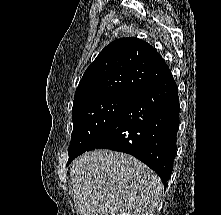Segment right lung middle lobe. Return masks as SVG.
Masks as SVG:
<instances>
[{
    "instance_id": "dd1d6c3e",
    "label": "right lung middle lobe",
    "mask_w": 221,
    "mask_h": 215,
    "mask_svg": "<svg viewBox=\"0 0 221 215\" xmlns=\"http://www.w3.org/2000/svg\"><path fill=\"white\" fill-rule=\"evenodd\" d=\"M132 97L111 95L73 105L69 161L87 151L103 135Z\"/></svg>"
}]
</instances>
